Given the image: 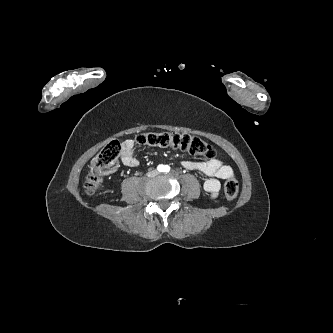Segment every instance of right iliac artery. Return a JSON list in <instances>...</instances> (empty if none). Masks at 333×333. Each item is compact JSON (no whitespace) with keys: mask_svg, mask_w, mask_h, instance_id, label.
Returning a JSON list of instances; mask_svg holds the SVG:
<instances>
[{"mask_svg":"<svg viewBox=\"0 0 333 333\" xmlns=\"http://www.w3.org/2000/svg\"><path fill=\"white\" fill-rule=\"evenodd\" d=\"M159 172H163L164 171V166L163 165H158L157 167Z\"/></svg>","mask_w":333,"mask_h":333,"instance_id":"obj_1","label":"right iliac artery"}]
</instances>
